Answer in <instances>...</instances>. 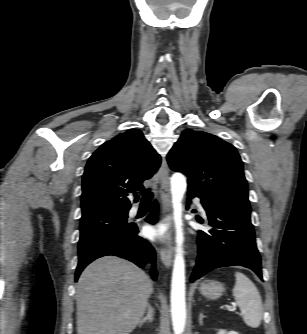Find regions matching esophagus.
<instances>
[{"label":"esophagus","instance_id":"esophagus-1","mask_svg":"<svg viewBox=\"0 0 307 334\" xmlns=\"http://www.w3.org/2000/svg\"><path fill=\"white\" fill-rule=\"evenodd\" d=\"M159 177H160L159 192L162 205L161 222L170 225L172 221V216H171L169 168L165 158L162 160ZM159 254L162 263L167 268H169L173 261V247L170 243V231L167 240L164 242V246H162L159 250Z\"/></svg>","mask_w":307,"mask_h":334}]
</instances>
